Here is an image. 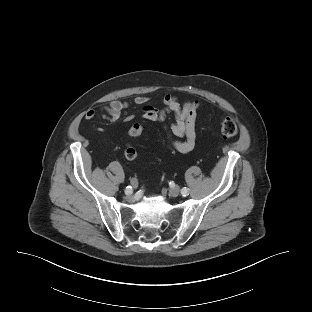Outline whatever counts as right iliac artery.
Returning <instances> with one entry per match:
<instances>
[{
  "label": "right iliac artery",
  "mask_w": 312,
  "mask_h": 312,
  "mask_svg": "<svg viewBox=\"0 0 312 312\" xmlns=\"http://www.w3.org/2000/svg\"><path fill=\"white\" fill-rule=\"evenodd\" d=\"M126 194L132 193V186H127L125 190Z\"/></svg>",
  "instance_id": "82829eb1"
}]
</instances>
